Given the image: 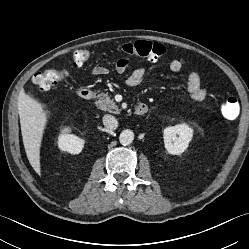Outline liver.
Masks as SVG:
<instances>
[{
	"label": "liver",
	"mask_w": 249,
	"mask_h": 249,
	"mask_svg": "<svg viewBox=\"0 0 249 249\" xmlns=\"http://www.w3.org/2000/svg\"><path fill=\"white\" fill-rule=\"evenodd\" d=\"M18 110L27 158L35 172L40 175V147L47 124V113L40 102L24 92L19 95Z\"/></svg>",
	"instance_id": "1"
}]
</instances>
